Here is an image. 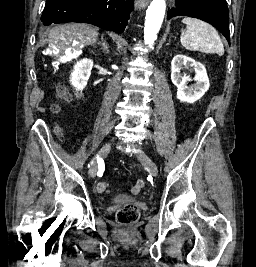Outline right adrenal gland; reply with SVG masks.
Returning a JSON list of instances; mask_svg holds the SVG:
<instances>
[{"mask_svg":"<svg viewBox=\"0 0 256 267\" xmlns=\"http://www.w3.org/2000/svg\"><path fill=\"white\" fill-rule=\"evenodd\" d=\"M99 46H101V50L102 52H106V54H109L110 50H109V46L108 44H106L103 36H101V42H98Z\"/></svg>","mask_w":256,"mask_h":267,"instance_id":"obj_1","label":"right adrenal gland"}]
</instances>
